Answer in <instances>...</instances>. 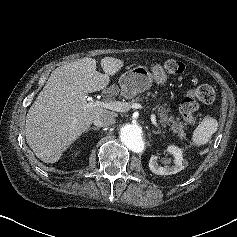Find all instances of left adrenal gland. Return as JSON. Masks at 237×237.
Masks as SVG:
<instances>
[{
    "label": "left adrenal gland",
    "mask_w": 237,
    "mask_h": 237,
    "mask_svg": "<svg viewBox=\"0 0 237 237\" xmlns=\"http://www.w3.org/2000/svg\"><path fill=\"white\" fill-rule=\"evenodd\" d=\"M154 134H160V131H152Z\"/></svg>",
    "instance_id": "1"
}]
</instances>
